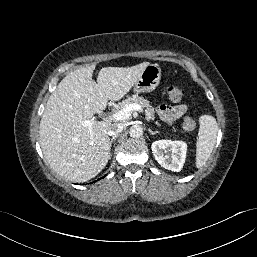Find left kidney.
Masks as SVG:
<instances>
[{
    "label": "left kidney",
    "instance_id": "5707ae66",
    "mask_svg": "<svg viewBox=\"0 0 257 257\" xmlns=\"http://www.w3.org/2000/svg\"><path fill=\"white\" fill-rule=\"evenodd\" d=\"M156 161L165 169L179 172L186 159L187 144L183 141L158 140L151 145Z\"/></svg>",
    "mask_w": 257,
    "mask_h": 257
}]
</instances>
